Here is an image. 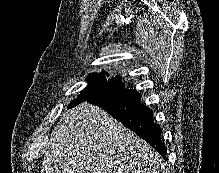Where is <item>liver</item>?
<instances>
[{"mask_svg":"<svg viewBox=\"0 0 219 173\" xmlns=\"http://www.w3.org/2000/svg\"><path fill=\"white\" fill-rule=\"evenodd\" d=\"M163 166L147 142L83 102L61 115L40 173H159Z\"/></svg>","mask_w":219,"mask_h":173,"instance_id":"obj_1","label":"liver"}]
</instances>
